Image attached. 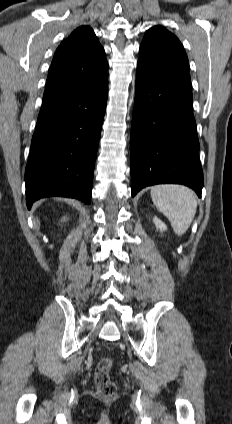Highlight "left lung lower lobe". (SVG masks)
<instances>
[{
    "label": "left lung lower lobe",
    "mask_w": 232,
    "mask_h": 424,
    "mask_svg": "<svg viewBox=\"0 0 232 424\" xmlns=\"http://www.w3.org/2000/svg\"><path fill=\"white\" fill-rule=\"evenodd\" d=\"M199 148L190 75L137 69L130 138L132 196L146 186L177 183L201 197Z\"/></svg>",
    "instance_id": "left-lung-lower-lobe-1"
}]
</instances>
